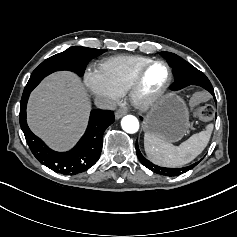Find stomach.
Returning a JSON list of instances; mask_svg holds the SVG:
<instances>
[{"instance_id":"1","label":"stomach","mask_w":237,"mask_h":237,"mask_svg":"<svg viewBox=\"0 0 237 237\" xmlns=\"http://www.w3.org/2000/svg\"><path fill=\"white\" fill-rule=\"evenodd\" d=\"M189 126L186 103L174 92L152 101L143 122V130L146 133H151L168 143L182 139Z\"/></svg>"}]
</instances>
